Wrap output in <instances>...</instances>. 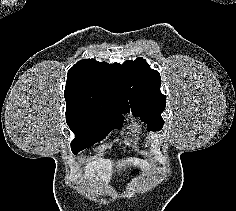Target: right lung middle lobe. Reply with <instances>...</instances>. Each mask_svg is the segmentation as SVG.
<instances>
[{
  "label": "right lung middle lobe",
  "mask_w": 236,
  "mask_h": 211,
  "mask_svg": "<svg viewBox=\"0 0 236 211\" xmlns=\"http://www.w3.org/2000/svg\"><path fill=\"white\" fill-rule=\"evenodd\" d=\"M126 112L66 111L67 125L76 136L71 142L72 152L76 155L101 141L111 130L122 126Z\"/></svg>",
  "instance_id": "1"
}]
</instances>
